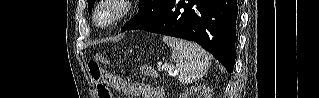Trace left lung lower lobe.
Segmentation results:
<instances>
[{"mask_svg": "<svg viewBox=\"0 0 319 98\" xmlns=\"http://www.w3.org/2000/svg\"><path fill=\"white\" fill-rule=\"evenodd\" d=\"M237 16V0H165L160 14L139 29L195 41L231 73Z\"/></svg>", "mask_w": 319, "mask_h": 98, "instance_id": "0a47b994", "label": "left lung lower lobe"}]
</instances>
